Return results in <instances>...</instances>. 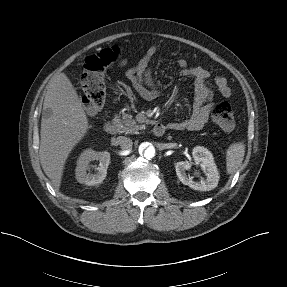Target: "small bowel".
I'll return each mask as SVG.
<instances>
[{
	"label": "small bowel",
	"mask_w": 287,
	"mask_h": 287,
	"mask_svg": "<svg viewBox=\"0 0 287 287\" xmlns=\"http://www.w3.org/2000/svg\"><path fill=\"white\" fill-rule=\"evenodd\" d=\"M158 51V45L150 46L139 62L126 71V77L133 88L145 100H153L159 95V90L152 76L151 67V61ZM176 63L179 75L194 79L195 97L190 116L170 123L169 128L177 131L200 130L207 124L212 108V89L208 85L210 73L201 66L189 65L183 58H177ZM126 64L127 59H123L119 65L125 66ZM215 86L224 98L231 96L230 86L224 76L215 78Z\"/></svg>",
	"instance_id": "small-bowel-1"
}]
</instances>
